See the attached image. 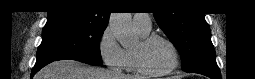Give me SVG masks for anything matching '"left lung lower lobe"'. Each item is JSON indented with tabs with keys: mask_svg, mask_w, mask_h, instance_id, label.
<instances>
[{
	"mask_svg": "<svg viewBox=\"0 0 255 79\" xmlns=\"http://www.w3.org/2000/svg\"><path fill=\"white\" fill-rule=\"evenodd\" d=\"M190 72L199 73L207 77H210L211 79H221L219 68L198 69Z\"/></svg>",
	"mask_w": 255,
	"mask_h": 79,
	"instance_id": "left-lung-lower-lobe-1",
	"label": "left lung lower lobe"
}]
</instances>
